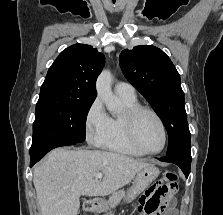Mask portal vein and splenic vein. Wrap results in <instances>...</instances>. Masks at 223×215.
Segmentation results:
<instances>
[{
	"instance_id": "portal-vein-and-splenic-vein-1",
	"label": "portal vein and splenic vein",
	"mask_w": 223,
	"mask_h": 215,
	"mask_svg": "<svg viewBox=\"0 0 223 215\" xmlns=\"http://www.w3.org/2000/svg\"><path fill=\"white\" fill-rule=\"evenodd\" d=\"M95 177H103V173H96Z\"/></svg>"
}]
</instances>
